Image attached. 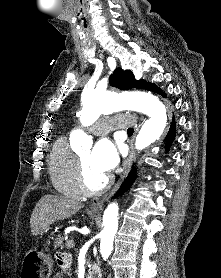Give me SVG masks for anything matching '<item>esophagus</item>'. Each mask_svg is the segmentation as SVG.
<instances>
[{"label": "esophagus", "instance_id": "34e87169", "mask_svg": "<svg viewBox=\"0 0 221 278\" xmlns=\"http://www.w3.org/2000/svg\"><path fill=\"white\" fill-rule=\"evenodd\" d=\"M134 158H135L134 148L131 145L129 155L124 160V163H123V173L121 175L120 181L116 184L114 189H112L108 194H105L104 196H102L100 198H95L91 201V203L89 204V208L92 211H100L103 207L105 200H107V198H109V196L112 195L120 187V185L122 184L124 178L127 176L128 172L132 166Z\"/></svg>", "mask_w": 221, "mask_h": 278}]
</instances>
